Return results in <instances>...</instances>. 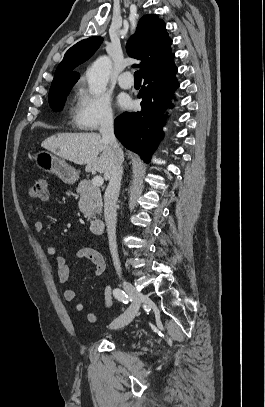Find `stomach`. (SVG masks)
I'll return each mask as SVG.
<instances>
[{"mask_svg":"<svg viewBox=\"0 0 265 407\" xmlns=\"http://www.w3.org/2000/svg\"><path fill=\"white\" fill-rule=\"evenodd\" d=\"M34 161L39 169L55 174L67 184H73L79 178L75 168L68 165L64 159L57 157L49 151H39L34 156Z\"/></svg>","mask_w":265,"mask_h":407,"instance_id":"stomach-1","label":"stomach"}]
</instances>
